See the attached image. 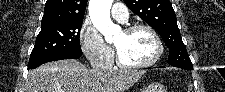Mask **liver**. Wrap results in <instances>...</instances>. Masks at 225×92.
Wrapping results in <instances>:
<instances>
[{
  "instance_id": "liver-1",
  "label": "liver",
  "mask_w": 225,
  "mask_h": 92,
  "mask_svg": "<svg viewBox=\"0 0 225 92\" xmlns=\"http://www.w3.org/2000/svg\"><path fill=\"white\" fill-rule=\"evenodd\" d=\"M144 73L136 69H88L76 60H60L31 70L25 92H124Z\"/></svg>"
}]
</instances>
